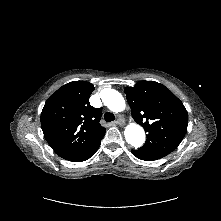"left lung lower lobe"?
<instances>
[{"mask_svg":"<svg viewBox=\"0 0 221 221\" xmlns=\"http://www.w3.org/2000/svg\"><path fill=\"white\" fill-rule=\"evenodd\" d=\"M132 153L135 157L141 159V160H145V161H152V160H156L154 158H149V157H146L142 154H140L137 150H132Z\"/></svg>","mask_w":221,"mask_h":221,"instance_id":"left-lung-lower-lobe-1","label":"left lung lower lobe"}]
</instances>
